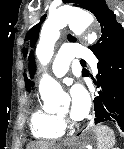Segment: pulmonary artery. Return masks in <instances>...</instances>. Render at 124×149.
Instances as JSON below:
<instances>
[{
    "label": "pulmonary artery",
    "instance_id": "1",
    "mask_svg": "<svg viewBox=\"0 0 124 149\" xmlns=\"http://www.w3.org/2000/svg\"><path fill=\"white\" fill-rule=\"evenodd\" d=\"M74 59L88 60L91 62L92 67L96 69V59L92 55L90 49L82 44L68 43L59 50L52 64V76L54 78L63 77L68 72L70 63Z\"/></svg>",
    "mask_w": 124,
    "mask_h": 149
}]
</instances>
